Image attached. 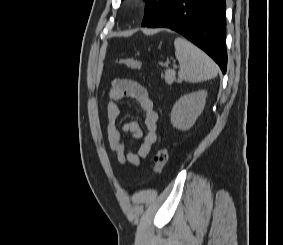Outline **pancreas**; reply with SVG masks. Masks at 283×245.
Returning <instances> with one entry per match:
<instances>
[{
    "label": "pancreas",
    "mask_w": 283,
    "mask_h": 245,
    "mask_svg": "<svg viewBox=\"0 0 283 245\" xmlns=\"http://www.w3.org/2000/svg\"><path fill=\"white\" fill-rule=\"evenodd\" d=\"M161 78H164L165 82L170 85L176 80V73L174 70L168 69L164 74H161Z\"/></svg>",
    "instance_id": "cf45deb5"
}]
</instances>
